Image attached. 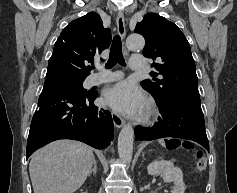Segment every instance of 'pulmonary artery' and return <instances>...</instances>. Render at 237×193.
Here are the masks:
<instances>
[{
  "mask_svg": "<svg viewBox=\"0 0 237 193\" xmlns=\"http://www.w3.org/2000/svg\"><path fill=\"white\" fill-rule=\"evenodd\" d=\"M145 59L139 56H132L129 60V66L132 70L140 71L145 68ZM122 77L121 72H103L100 74L92 75L90 77L91 85H98L102 83H107L111 81L119 80Z\"/></svg>",
  "mask_w": 237,
  "mask_h": 193,
  "instance_id": "pulmonary-artery-1",
  "label": "pulmonary artery"
}]
</instances>
